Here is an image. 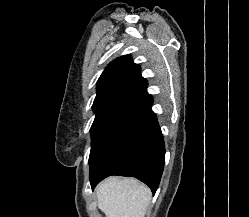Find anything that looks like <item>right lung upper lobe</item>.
<instances>
[{
    "mask_svg": "<svg viewBox=\"0 0 249 217\" xmlns=\"http://www.w3.org/2000/svg\"><path fill=\"white\" fill-rule=\"evenodd\" d=\"M143 79L140 66L133 63L131 56H121L112 61L101 74L97 82L96 97L107 94L122 95Z\"/></svg>",
    "mask_w": 249,
    "mask_h": 217,
    "instance_id": "1",
    "label": "right lung upper lobe"
}]
</instances>
